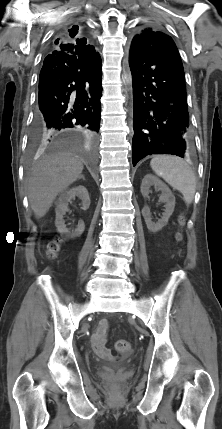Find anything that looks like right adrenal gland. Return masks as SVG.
Segmentation results:
<instances>
[{"label":"right adrenal gland","instance_id":"1","mask_svg":"<svg viewBox=\"0 0 222 429\" xmlns=\"http://www.w3.org/2000/svg\"><path fill=\"white\" fill-rule=\"evenodd\" d=\"M80 178H81V179H83V180H85V177H84V176H81Z\"/></svg>","mask_w":222,"mask_h":429}]
</instances>
